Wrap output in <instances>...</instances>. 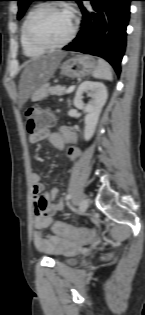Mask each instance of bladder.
I'll list each match as a JSON object with an SVG mask.
<instances>
[{
  "label": "bladder",
  "mask_w": 145,
  "mask_h": 315,
  "mask_svg": "<svg viewBox=\"0 0 145 315\" xmlns=\"http://www.w3.org/2000/svg\"><path fill=\"white\" fill-rule=\"evenodd\" d=\"M77 255H78V251L69 252V253H66V254L64 255V257L62 258V260H63L65 263L73 264V263H75V261H76Z\"/></svg>",
  "instance_id": "obj_1"
}]
</instances>
